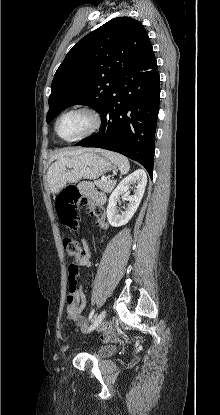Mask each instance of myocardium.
<instances>
[{
    "label": "myocardium",
    "mask_w": 220,
    "mask_h": 415,
    "mask_svg": "<svg viewBox=\"0 0 220 415\" xmlns=\"http://www.w3.org/2000/svg\"><path fill=\"white\" fill-rule=\"evenodd\" d=\"M75 112H82V113H86L88 114L91 119H92V125L91 127L84 132L83 134L72 138V139H64L62 137H60L59 133H58V124L60 122V120L67 114L70 113H75ZM102 127V117L101 114L99 113V111L97 109H95L92 106H87V105H79V106H75L72 108H69L67 110H65L64 112H62L56 119L55 123H54V131L55 134L57 135L58 138H60L61 140L65 141V142H77L80 141L82 139H85L87 137H90L94 134H96Z\"/></svg>",
    "instance_id": "obj_1"
}]
</instances>
